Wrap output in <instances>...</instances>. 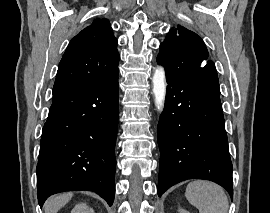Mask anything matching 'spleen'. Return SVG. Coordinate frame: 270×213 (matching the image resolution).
Segmentation results:
<instances>
[{
  "label": "spleen",
  "instance_id": "1",
  "mask_svg": "<svg viewBox=\"0 0 270 213\" xmlns=\"http://www.w3.org/2000/svg\"><path fill=\"white\" fill-rule=\"evenodd\" d=\"M185 196L199 213L228 212V198L224 190L213 182L192 181L187 185Z\"/></svg>",
  "mask_w": 270,
  "mask_h": 213
}]
</instances>
